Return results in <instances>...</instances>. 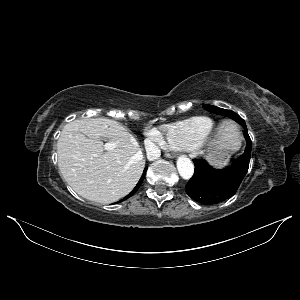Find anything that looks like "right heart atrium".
I'll list each match as a JSON object with an SVG mask.
<instances>
[{"label": "right heart atrium", "instance_id": "1", "mask_svg": "<svg viewBox=\"0 0 300 300\" xmlns=\"http://www.w3.org/2000/svg\"><path fill=\"white\" fill-rule=\"evenodd\" d=\"M148 137L152 142H154L155 144H157L161 148L166 147L164 138H163L161 132L158 131L157 129H155V128L150 129L148 131Z\"/></svg>", "mask_w": 300, "mask_h": 300}]
</instances>
